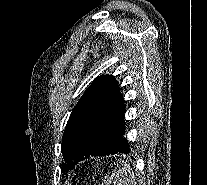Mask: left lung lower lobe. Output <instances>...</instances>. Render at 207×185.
I'll return each instance as SVG.
<instances>
[{"instance_id":"1","label":"left lung lower lobe","mask_w":207,"mask_h":185,"mask_svg":"<svg viewBox=\"0 0 207 185\" xmlns=\"http://www.w3.org/2000/svg\"><path fill=\"white\" fill-rule=\"evenodd\" d=\"M124 129H125V122L123 119V121L121 122L115 133L113 134L107 147L104 149V151L100 153H92L89 155H84L83 158L79 160V162L87 159L89 156H107V155H113L119 153L128 154L130 152V148H129L128 141L126 140L125 137H123Z\"/></svg>"}]
</instances>
